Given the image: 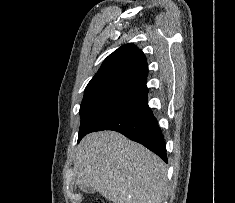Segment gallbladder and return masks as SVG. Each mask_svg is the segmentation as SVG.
<instances>
[{"label":"gallbladder","instance_id":"obj_1","mask_svg":"<svg viewBox=\"0 0 235 203\" xmlns=\"http://www.w3.org/2000/svg\"><path fill=\"white\" fill-rule=\"evenodd\" d=\"M79 188L86 193H93L95 191L92 187H85V186L79 185Z\"/></svg>","mask_w":235,"mask_h":203}]
</instances>
